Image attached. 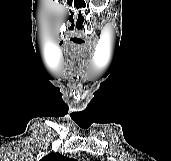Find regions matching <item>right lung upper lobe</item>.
I'll list each match as a JSON object with an SVG mask.
<instances>
[{
    "label": "right lung upper lobe",
    "mask_w": 171,
    "mask_h": 161,
    "mask_svg": "<svg viewBox=\"0 0 171 161\" xmlns=\"http://www.w3.org/2000/svg\"><path fill=\"white\" fill-rule=\"evenodd\" d=\"M40 161H76V160L73 158L64 157L63 155H60L59 153H52V154L45 156Z\"/></svg>",
    "instance_id": "obj_1"
}]
</instances>
